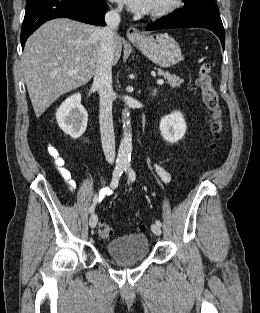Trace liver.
<instances>
[{
  "label": "liver",
  "mask_w": 260,
  "mask_h": 313,
  "mask_svg": "<svg viewBox=\"0 0 260 313\" xmlns=\"http://www.w3.org/2000/svg\"><path fill=\"white\" fill-rule=\"evenodd\" d=\"M99 29L67 18L47 21L27 40L21 67L37 118L61 95L88 83L95 73ZM122 41L113 42L115 65Z\"/></svg>",
  "instance_id": "1"
}]
</instances>
